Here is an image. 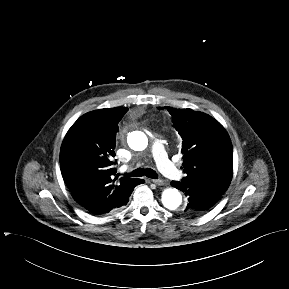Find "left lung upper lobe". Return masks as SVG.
<instances>
[{"mask_svg":"<svg viewBox=\"0 0 289 289\" xmlns=\"http://www.w3.org/2000/svg\"><path fill=\"white\" fill-rule=\"evenodd\" d=\"M173 127L182 138L183 168L180 183L222 195L233 171V149L223 126L211 116L191 109L168 107Z\"/></svg>","mask_w":289,"mask_h":289,"instance_id":"5c2ea615","label":"left lung upper lobe"}]
</instances>
